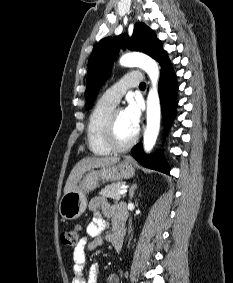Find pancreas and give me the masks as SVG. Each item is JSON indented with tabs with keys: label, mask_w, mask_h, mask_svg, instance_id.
Masks as SVG:
<instances>
[{
	"label": "pancreas",
	"mask_w": 233,
	"mask_h": 283,
	"mask_svg": "<svg viewBox=\"0 0 233 283\" xmlns=\"http://www.w3.org/2000/svg\"><path fill=\"white\" fill-rule=\"evenodd\" d=\"M125 185L124 182H116L105 186L99 194L105 198H111L113 200H120L123 195L118 194V191Z\"/></svg>",
	"instance_id": "pancreas-1"
}]
</instances>
